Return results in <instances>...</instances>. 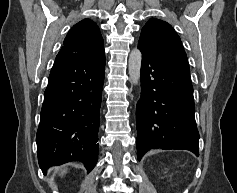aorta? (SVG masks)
<instances>
[{
  "label": "aorta",
  "instance_id": "762f6f07",
  "mask_svg": "<svg viewBox=\"0 0 237 193\" xmlns=\"http://www.w3.org/2000/svg\"><path fill=\"white\" fill-rule=\"evenodd\" d=\"M142 54L137 48L133 49L129 55L128 72L130 81L137 85L140 81Z\"/></svg>",
  "mask_w": 237,
  "mask_h": 193
}]
</instances>
